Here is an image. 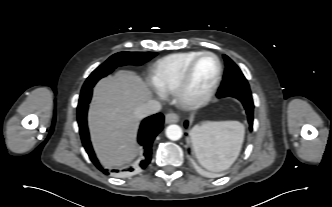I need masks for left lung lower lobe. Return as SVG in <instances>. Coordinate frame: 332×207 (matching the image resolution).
Instances as JSON below:
<instances>
[{
	"instance_id": "obj_1",
	"label": "left lung lower lobe",
	"mask_w": 332,
	"mask_h": 207,
	"mask_svg": "<svg viewBox=\"0 0 332 207\" xmlns=\"http://www.w3.org/2000/svg\"><path fill=\"white\" fill-rule=\"evenodd\" d=\"M218 97H226V95H218ZM227 96H232L237 98L244 106L247 116H248V122H249V128L252 130V125H253V109H254V104H253V99L252 95H243V94H234V95H227ZM185 127H188V121L184 123Z\"/></svg>"
}]
</instances>
